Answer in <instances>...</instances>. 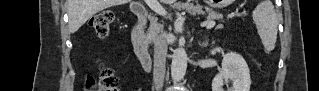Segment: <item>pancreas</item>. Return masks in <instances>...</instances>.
<instances>
[{
	"label": "pancreas",
	"instance_id": "cf45deb5",
	"mask_svg": "<svg viewBox=\"0 0 319 91\" xmlns=\"http://www.w3.org/2000/svg\"><path fill=\"white\" fill-rule=\"evenodd\" d=\"M186 10L189 11V12H192V11H201V7H198V6H186ZM208 12V19H220L221 18V14L215 12V11H212L210 9H207L206 10ZM150 27L148 29V32L146 34V37L147 39L152 42L156 39L157 37V33L162 29V25L159 24L157 22V19L154 18V17H151L150 18ZM223 25L222 24H219L217 26V29H220L222 28Z\"/></svg>",
	"mask_w": 319,
	"mask_h": 91
}]
</instances>
